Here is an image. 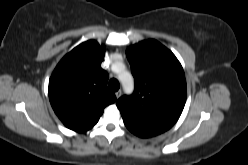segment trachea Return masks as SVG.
<instances>
[{
    "instance_id": "obj_1",
    "label": "trachea",
    "mask_w": 248,
    "mask_h": 165,
    "mask_svg": "<svg viewBox=\"0 0 248 165\" xmlns=\"http://www.w3.org/2000/svg\"><path fill=\"white\" fill-rule=\"evenodd\" d=\"M108 86L111 91H118L120 84L116 79H111Z\"/></svg>"
}]
</instances>
